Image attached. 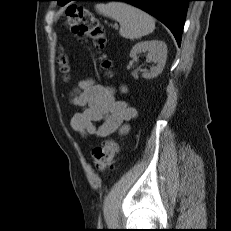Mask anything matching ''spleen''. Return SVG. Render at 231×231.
<instances>
[{
    "instance_id": "spleen-1",
    "label": "spleen",
    "mask_w": 231,
    "mask_h": 231,
    "mask_svg": "<svg viewBox=\"0 0 231 231\" xmlns=\"http://www.w3.org/2000/svg\"><path fill=\"white\" fill-rule=\"evenodd\" d=\"M95 9L99 14L119 22V34L124 38L139 39L155 29V20L152 16L127 3H98Z\"/></svg>"
}]
</instances>
